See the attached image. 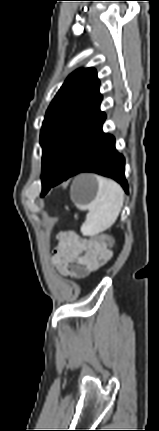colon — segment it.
Masks as SVG:
<instances>
[{
    "instance_id": "1",
    "label": "colon",
    "mask_w": 159,
    "mask_h": 431,
    "mask_svg": "<svg viewBox=\"0 0 159 431\" xmlns=\"http://www.w3.org/2000/svg\"><path fill=\"white\" fill-rule=\"evenodd\" d=\"M95 240H107L108 242V248L112 247L113 245V239L111 236L106 235V234H100L94 237Z\"/></svg>"
}]
</instances>
